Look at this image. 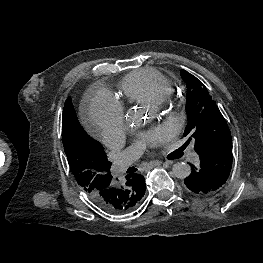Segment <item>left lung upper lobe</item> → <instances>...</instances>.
<instances>
[{
	"label": "left lung upper lobe",
	"mask_w": 263,
	"mask_h": 263,
	"mask_svg": "<svg viewBox=\"0 0 263 263\" xmlns=\"http://www.w3.org/2000/svg\"><path fill=\"white\" fill-rule=\"evenodd\" d=\"M181 77L188 89L186 97L188 124L184 136H190V139L195 140V151L198 153L220 141L231 140L227 122L204 84L183 69Z\"/></svg>",
	"instance_id": "1"
}]
</instances>
